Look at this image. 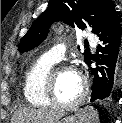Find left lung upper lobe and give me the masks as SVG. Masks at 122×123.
<instances>
[{"label": "left lung upper lobe", "instance_id": "1", "mask_svg": "<svg viewBox=\"0 0 122 123\" xmlns=\"http://www.w3.org/2000/svg\"><path fill=\"white\" fill-rule=\"evenodd\" d=\"M110 0H51L48 8L36 19L19 43V51L24 52L39 45L47 36L49 27L56 21H63L71 27L92 28L99 34L110 18L115 15ZM87 63L91 53L85 50Z\"/></svg>", "mask_w": 122, "mask_h": 123}]
</instances>
